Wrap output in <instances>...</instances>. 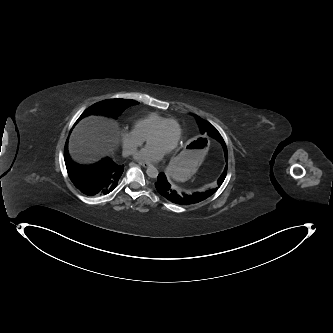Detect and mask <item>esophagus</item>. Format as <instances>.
<instances>
[{"label":"esophagus","mask_w":333,"mask_h":333,"mask_svg":"<svg viewBox=\"0 0 333 333\" xmlns=\"http://www.w3.org/2000/svg\"><path fill=\"white\" fill-rule=\"evenodd\" d=\"M138 163H139L141 166H143L144 168L150 166V163H148V162L139 161Z\"/></svg>","instance_id":"obj_1"}]
</instances>
